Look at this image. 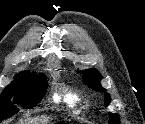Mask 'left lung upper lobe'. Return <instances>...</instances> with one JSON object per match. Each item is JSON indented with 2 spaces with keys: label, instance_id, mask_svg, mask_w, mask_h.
<instances>
[{
  "label": "left lung upper lobe",
  "instance_id": "1",
  "mask_svg": "<svg viewBox=\"0 0 145 124\" xmlns=\"http://www.w3.org/2000/svg\"><path fill=\"white\" fill-rule=\"evenodd\" d=\"M82 75L84 78L85 83L91 87L93 90L95 91H100L103 92L105 91V89L103 87H101L99 81L101 80V75L100 73L95 70V69H87L85 71H82ZM110 96L108 93L105 94V102L106 105H108L110 103ZM111 119H110V123L116 124L119 121V117L116 114H110Z\"/></svg>",
  "mask_w": 145,
  "mask_h": 124
}]
</instances>
